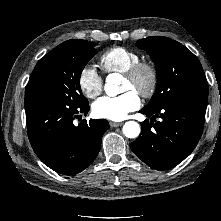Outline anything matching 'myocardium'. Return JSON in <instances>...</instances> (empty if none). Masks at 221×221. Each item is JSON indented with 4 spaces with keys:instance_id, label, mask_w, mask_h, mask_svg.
I'll list each match as a JSON object with an SVG mask.
<instances>
[{
    "instance_id": "1",
    "label": "myocardium",
    "mask_w": 221,
    "mask_h": 221,
    "mask_svg": "<svg viewBox=\"0 0 221 221\" xmlns=\"http://www.w3.org/2000/svg\"><path fill=\"white\" fill-rule=\"evenodd\" d=\"M124 78L134 86V90L144 98L154 95L159 81L156 66L148 61L139 60L132 65L125 73Z\"/></svg>"
}]
</instances>
